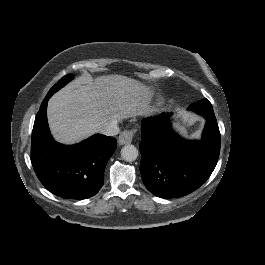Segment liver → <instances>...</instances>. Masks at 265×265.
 <instances>
[{
    "mask_svg": "<svg viewBox=\"0 0 265 265\" xmlns=\"http://www.w3.org/2000/svg\"><path fill=\"white\" fill-rule=\"evenodd\" d=\"M154 90L122 75L76 78L48 102V122L57 141L74 143L112 121L144 115Z\"/></svg>",
    "mask_w": 265,
    "mask_h": 265,
    "instance_id": "6515ba94",
    "label": "liver"
}]
</instances>
